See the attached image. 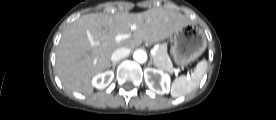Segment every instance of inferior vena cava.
Returning <instances> with one entry per match:
<instances>
[{
    "instance_id": "602c4592",
    "label": "inferior vena cava",
    "mask_w": 276,
    "mask_h": 120,
    "mask_svg": "<svg viewBox=\"0 0 276 120\" xmlns=\"http://www.w3.org/2000/svg\"><path fill=\"white\" fill-rule=\"evenodd\" d=\"M131 50L126 47H121L115 50L111 56V60L114 62H117L125 57H127L130 54Z\"/></svg>"
}]
</instances>
